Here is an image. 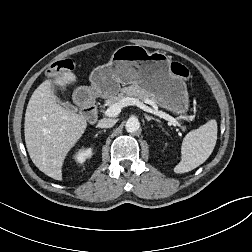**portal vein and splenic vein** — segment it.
<instances>
[{
  "label": "portal vein and splenic vein",
  "mask_w": 252,
  "mask_h": 252,
  "mask_svg": "<svg viewBox=\"0 0 252 252\" xmlns=\"http://www.w3.org/2000/svg\"><path fill=\"white\" fill-rule=\"evenodd\" d=\"M127 106H137V107L143 109L144 111L153 113V114L169 121L173 126L179 127L180 129H184V127L179 122H177L173 117H171L170 115L166 114L165 112L159 111V110L151 109L150 107H148L145 104H143L142 102H140L138 99L131 98V97H126V98L122 99L119 103L111 105L109 108H107L105 110L104 115L107 117H115L121 112V109L123 107H127Z\"/></svg>",
  "instance_id": "portal-vein-and-splenic-vein-1"
}]
</instances>
